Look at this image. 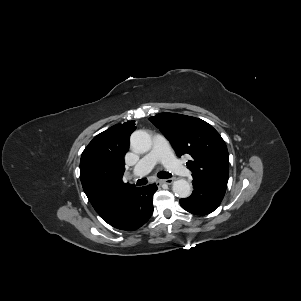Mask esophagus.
I'll return each mask as SVG.
<instances>
[{"instance_id":"34e87169","label":"esophagus","mask_w":301,"mask_h":301,"mask_svg":"<svg viewBox=\"0 0 301 301\" xmlns=\"http://www.w3.org/2000/svg\"><path fill=\"white\" fill-rule=\"evenodd\" d=\"M158 183L171 185L173 183V179L168 178V179L159 180Z\"/></svg>"}]
</instances>
